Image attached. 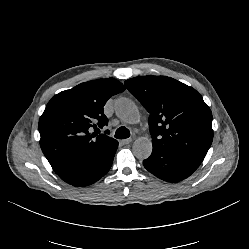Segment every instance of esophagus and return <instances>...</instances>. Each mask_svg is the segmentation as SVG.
<instances>
[{"label": "esophagus", "instance_id": "esophagus-1", "mask_svg": "<svg viewBox=\"0 0 249 249\" xmlns=\"http://www.w3.org/2000/svg\"><path fill=\"white\" fill-rule=\"evenodd\" d=\"M131 141H132V139H131V138H128V139L121 140V143H122L123 145H127V144H129Z\"/></svg>", "mask_w": 249, "mask_h": 249}]
</instances>
